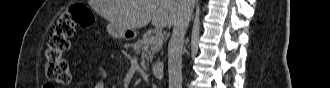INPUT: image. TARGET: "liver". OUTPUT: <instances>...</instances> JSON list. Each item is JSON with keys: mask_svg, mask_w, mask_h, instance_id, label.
I'll return each instance as SVG.
<instances>
[{"mask_svg": "<svg viewBox=\"0 0 330 88\" xmlns=\"http://www.w3.org/2000/svg\"><path fill=\"white\" fill-rule=\"evenodd\" d=\"M195 0L191 4L194 7ZM182 7L180 0H98L96 11L118 30L148 25L171 27Z\"/></svg>", "mask_w": 330, "mask_h": 88, "instance_id": "liver-1", "label": "liver"}]
</instances>
